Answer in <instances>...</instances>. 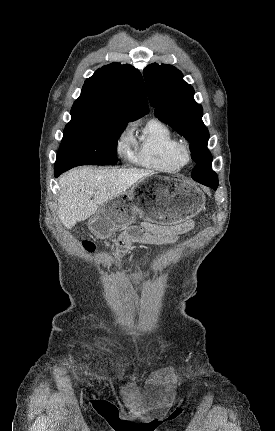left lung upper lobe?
I'll return each instance as SVG.
<instances>
[{
	"instance_id": "5c2ea615",
	"label": "left lung upper lobe",
	"mask_w": 275,
	"mask_h": 431,
	"mask_svg": "<svg viewBox=\"0 0 275 431\" xmlns=\"http://www.w3.org/2000/svg\"><path fill=\"white\" fill-rule=\"evenodd\" d=\"M143 73L150 104L156 108L155 115L191 143V157L196 163L192 173H213L218 183L207 149L209 132L202 121V106L193 98V87L183 80L181 71L171 65L153 63Z\"/></svg>"
}]
</instances>
